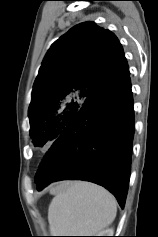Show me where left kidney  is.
<instances>
[{
	"label": "left kidney",
	"instance_id": "5707ae66",
	"mask_svg": "<svg viewBox=\"0 0 158 237\" xmlns=\"http://www.w3.org/2000/svg\"><path fill=\"white\" fill-rule=\"evenodd\" d=\"M113 234H114V230L110 228V229L104 230L103 232L98 234V236H113Z\"/></svg>",
	"mask_w": 158,
	"mask_h": 237
}]
</instances>
